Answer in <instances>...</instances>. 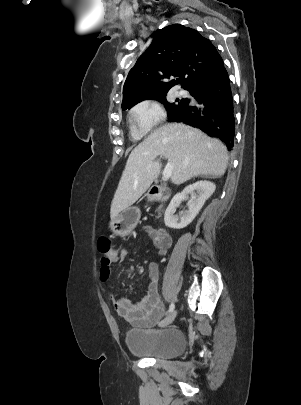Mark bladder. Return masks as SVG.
<instances>
[{
  "mask_svg": "<svg viewBox=\"0 0 301 405\" xmlns=\"http://www.w3.org/2000/svg\"><path fill=\"white\" fill-rule=\"evenodd\" d=\"M125 342L133 355L154 359L175 358L186 346L184 334L173 327L132 329L127 332Z\"/></svg>",
  "mask_w": 301,
  "mask_h": 405,
  "instance_id": "31cf9c89",
  "label": "bladder"
}]
</instances>
